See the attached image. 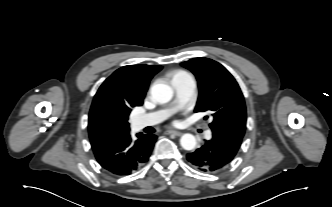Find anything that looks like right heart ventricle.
I'll return each mask as SVG.
<instances>
[{
    "label": "right heart ventricle",
    "mask_w": 332,
    "mask_h": 207,
    "mask_svg": "<svg viewBox=\"0 0 332 207\" xmlns=\"http://www.w3.org/2000/svg\"><path fill=\"white\" fill-rule=\"evenodd\" d=\"M188 76H190V75L187 72L183 71V70H179V71H176V72L172 73V75H171V83L174 86V88H175V83L178 80L186 78Z\"/></svg>",
    "instance_id": "e07e8e85"
}]
</instances>
